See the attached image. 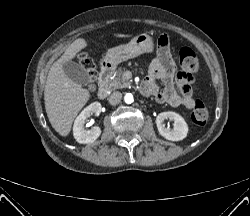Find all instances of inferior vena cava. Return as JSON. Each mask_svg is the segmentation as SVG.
Returning a JSON list of instances; mask_svg holds the SVG:
<instances>
[{
  "instance_id": "1",
  "label": "inferior vena cava",
  "mask_w": 250,
  "mask_h": 216,
  "mask_svg": "<svg viewBox=\"0 0 250 216\" xmlns=\"http://www.w3.org/2000/svg\"><path fill=\"white\" fill-rule=\"evenodd\" d=\"M122 99V94L120 92H113L108 100L111 105H117Z\"/></svg>"
}]
</instances>
